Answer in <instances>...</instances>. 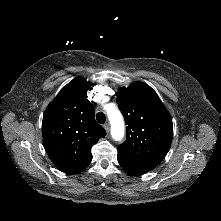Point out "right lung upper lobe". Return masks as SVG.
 Returning a JSON list of instances; mask_svg holds the SVG:
<instances>
[{"instance_id": "obj_1", "label": "right lung upper lobe", "mask_w": 221, "mask_h": 221, "mask_svg": "<svg viewBox=\"0 0 221 221\" xmlns=\"http://www.w3.org/2000/svg\"><path fill=\"white\" fill-rule=\"evenodd\" d=\"M91 83L78 77L65 85L43 115L45 150L62 172L77 174L91 162L92 146L106 131L97 124L86 93Z\"/></svg>"}]
</instances>
